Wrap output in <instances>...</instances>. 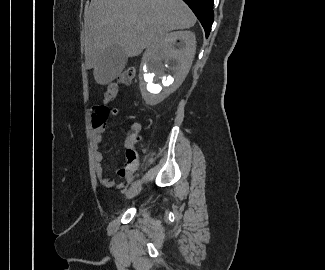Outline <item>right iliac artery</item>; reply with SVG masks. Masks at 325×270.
I'll list each match as a JSON object with an SVG mask.
<instances>
[{"instance_id": "1", "label": "right iliac artery", "mask_w": 325, "mask_h": 270, "mask_svg": "<svg viewBox=\"0 0 325 270\" xmlns=\"http://www.w3.org/2000/svg\"><path fill=\"white\" fill-rule=\"evenodd\" d=\"M140 183H141V180H137V181H135V182L132 183V187L137 186Z\"/></svg>"}]
</instances>
